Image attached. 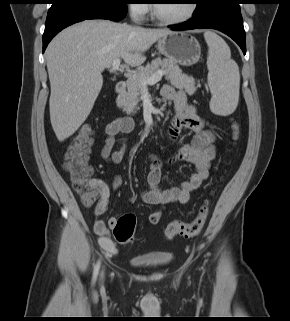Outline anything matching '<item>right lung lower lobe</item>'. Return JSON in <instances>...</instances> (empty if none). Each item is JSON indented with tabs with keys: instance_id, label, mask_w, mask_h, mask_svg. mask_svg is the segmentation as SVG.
Segmentation results:
<instances>
[{
	"instance_id": "1",
	"label": "right lung lower lobe",
	"mask_w": 290,
	"mask_h": 321,
	"mask_svg": "<svg viewBox=\"0 0 290 321\" xmlns=\"http://www.w3.org/2000/svg\"><path fill=\"white\" fill-rule=\"evenodd\" d=\"M127 10L128 8L125 6L105 8H91L70 4L51 6L43 34V52L52 38L67 26L87 19L119 21L125 17Z\"/></svg>"
}]
</instances>
